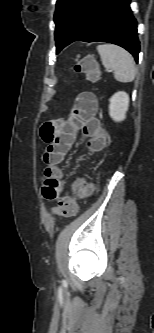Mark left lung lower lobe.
<instances>
[{"instance_id": "obj_1", "label": "left lung lower lobe", "mask_w": 154, "mask_h": 333, "mask_svg": "<svg viewBox=\"0 0 154 333\" xmlns=\"http://www.w3.org/2000/svg\"><path fill=\"white\" fill-rule=\"evenodd\" d=\"M129 4L130 0H97L63 48L75 41L108 42L125 48L137 62V22Z\"/></svg>"}]
</instances>
